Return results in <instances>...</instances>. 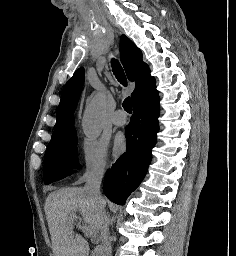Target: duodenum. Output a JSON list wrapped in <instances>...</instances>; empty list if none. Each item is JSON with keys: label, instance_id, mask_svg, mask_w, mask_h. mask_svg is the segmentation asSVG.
<instances>
[{"label": "duodenum", "instance_id": "duodenum-1", "mask_svg": "<svg viewBox=\"0 0 236 256\" xmlns=\"http://www.w3.org/2000/svg\"><path fill=\"white\" fill-rule=\"evenodd\" d=\"M92 251L90 248L85 249L84 254L82 256H92Z\"/></svg>", "mask_w": 236, "mask_h": 256}]
</instances>
